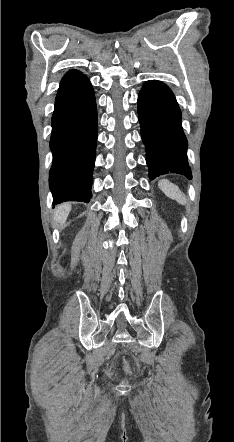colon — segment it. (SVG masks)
I'll list each match as a JSON object with an SVG mask.
<instances>
[{
  "label": "colon",
  "instance_id": "obj_1",
  "mask_svg": "<svg viewBox=\"0 0 234 442\" xmlns=\"http://www.w3.org/2000/svg\"><path fill=\"white\" fill-rule=\"evenodd\" d=\"M129 367H128V364H126V369H128ZM124 389H126L125 387H124Z\"/></svg>",
  "mask_w": 234,
  "mask_h": 442
}]
</instances>
